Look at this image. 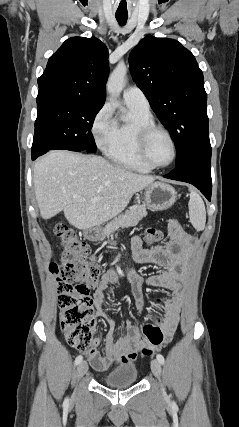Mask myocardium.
<instances>
[{
  "label": "myocardium",
  "instance_id": "f54148a6",
  "mask_svg": "<svg viewBox=\"0 0 239 427\" xmlns=\"http://www.w3.org/2000/svg\"><path fill=\"white\" fill-rule=\"evenodd\" d=\"M156 133L164 134L168 138V140L171 144V147H172V157L166 164H163V165L154 164L148 157V146H149L151 138ZM137 149H138V154H139V157L141 158V160L151 169L166 168V167L170 166L175 161L176 156H177V145H176V142H175L173 136L171 135V133L168 130H166L165 128H163L161 126H157L155 124L146 125V126H143L139 129L138 137H137Z\"/></svg>",
  "mask_w": 239,
  "mask_h": 427
}]
</instances>
